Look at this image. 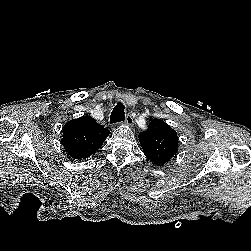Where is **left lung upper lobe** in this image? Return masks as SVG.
Listing matches in <instances>:
<instances>
[{
    "mask_svg": "<svg viewBox=\"0 0 251 251\" xmlns=\"http://www.w3.org/2000/svg\"><path fill=\"white\" fill-rule=\"evenodd\" d=\"M138 137L147 159L158 166L166 164L178 151L177 132L160 119L152 120Z\"/></svg>",
    "mask_w": 251,
    "mask_h": 251,
    "instance_id": "obj_1",
    "label": "left lung upper lobe"
}]
</instances>
